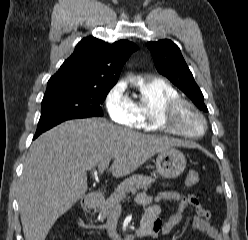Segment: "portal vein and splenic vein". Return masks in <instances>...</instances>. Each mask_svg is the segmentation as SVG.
<instances>
[{
	"label": "portal vein and splenic vein",
	"instance_id": "obj_1",
	"mask_svg": "<svg viewBox=\"0 0 248 240\" xmlns=\"http://www.w3.org/2000/svg\"><path fill=\"white\" fill-rule=\"evenodd\" d=\"M110 161H105L102 164H99V171H104L109 166Z\"/></svg>",
	"mask_w": 248,
	"mask_h": 240
}]
</instances>
